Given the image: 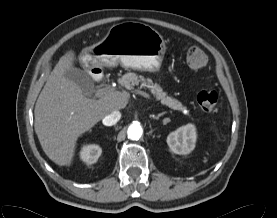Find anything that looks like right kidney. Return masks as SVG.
Instances as JSON below:
<instances>
[{"mask_svg":"<svg viewBox=\"0 0 277 218\" xmlns=\"http://www.w3.org/2000/svg\"><path fill=\"white\" fill-rule=\"evenodd\" d=\"M102 153L100 146L95 144L85 145L80 151V158L87 165L94 164Z\"/></svg>","mask_w":277,"mask_h":218,"instance_id":"1","label":"right kidney"}]
</instances>
